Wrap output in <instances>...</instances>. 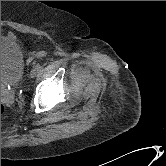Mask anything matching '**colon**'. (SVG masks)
<instances>
[{"label":"colon","mask_w":166,"mask_h":166,"mask_svg":"<svg viewBox=\"0 0 166 166\" xmlns=\"http://www.w3.org/2000/svg\"><path fill=\"white\" fill-rule=\"evenodd\" d=\"M42 54H43L42 51L31 53L32 56H34V55L41 56ZM4 113H5V106L3 104H1V116H3Z\"/></svg>","instance_id":"5ec220e1"}]
</instances>
